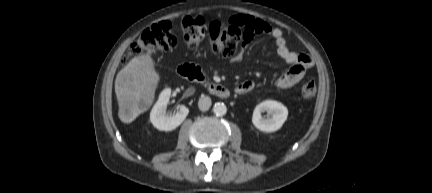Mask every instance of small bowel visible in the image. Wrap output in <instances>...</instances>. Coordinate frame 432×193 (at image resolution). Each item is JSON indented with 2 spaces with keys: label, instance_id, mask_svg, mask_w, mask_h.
I'll list each match as a JSON object with an SVG mask.
<instances>
[{
  "label": "small bowel",
  "instance_id": "obj_1",
  "mask_svg": "<svg viewBox=\"0 0 432 193\" xmlns=\"http://www.w3.org/2000/svg\"><path fill=\"white\" fill-rule=\"evenodd\" d=\"M230 23L241 26L249 33L250 39L252 36L259 34H265L273 38L277 55L290 66L289 69L275 82L277 88H292L301 81L306 71L314 66L313 59L310 55L303 52H296L288 46L281 29L249 15L234 16L230 19ZM243 57L244 50H241L231 59V62L238 63L243 59ZM253 88L254 83L247 80L239 83L235 88V92L237 94H246L253 90Z\"/></svg>",
  "mask_w": 432,
  "mask_h": 193
}]
</instances>
